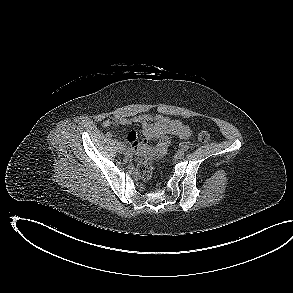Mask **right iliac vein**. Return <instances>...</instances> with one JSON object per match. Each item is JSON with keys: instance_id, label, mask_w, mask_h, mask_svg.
<instances>
[{"instance_id": "obj_1", "label": "right iliac vein", "mask_w": 293, "mask_h": 293, "mask_svg": "<svg viewBox=\"0 0 293 293\" xmlns=\"http://www.w3.org/2000/svg\"><path fill=\"white\" fill-rule=\"evenodd\" d=\"M116 148H117L118 152H120V153H123L125 150L124 145L122 143H118L116 145Z\"/></svg>"}]
</instances>
